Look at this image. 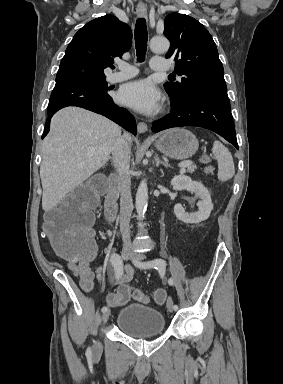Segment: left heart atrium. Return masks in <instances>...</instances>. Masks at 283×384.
I'll return each instance as SVG.
<instances>
[{
    "mask_svg": "<svg viewBox=\"0 0 283 384\" xmlns=\"http://www.w3.org/2000/svg\"><path fill=\"white\" fill-rule=\"evenodd\" d=\"M117 100L140 113H153L158 109L160 94L149 80L143 79L124 85L117 94Z\"/></svg>",
    "mask_w": 283,
    "mask_h": 384,
    "instance_id": "left-heart-atrium-1",
    "label": "left heart atrium"
}]
</instances>
